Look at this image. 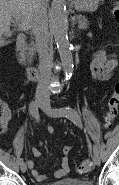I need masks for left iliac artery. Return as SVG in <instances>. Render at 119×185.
Masks as SVG:
<instances>
[{
    "label": "left iliac artery",
    "instance_id": "left-iliac-artery-1",
    "mask_svg": "<svg viewBox=\"0 0 119 185\" xmlns=\"http://www.w3.org/2000/svg\"><path fill=\"white\" fill-rule=\"evenodd\" d=\"M57 112L60 116L67 117L75 125L79 126L80 128H83L81 118L75 109H73L71 107H64V108L58 109ZM85 131H86V129H85ZM93 151H94V153H98V149L96 146L93 147Z\"/></svg>",
    "mask_w": 119,
    "mask_h": 185
}]
</instances>
